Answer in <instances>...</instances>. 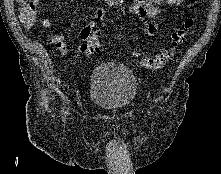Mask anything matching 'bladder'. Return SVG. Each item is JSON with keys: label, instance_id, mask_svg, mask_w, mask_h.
Returning <instances> with one entry per match:
<instances>
[{"label": "bladder", "instance_id": "1", "mask_svg": "<svg viewBox=\"0 0 221 174\" xmlns=\"http://www.w3.org/2000/svg\"><path fill=\"white\" fill-rule=\"evenodd\" d=\"M137 96V81L132 71L116 63L99 65L92 73L90 99L100 108L119 111L131 106Z\"/></svg>", "mask_w": 221, "mask_h": 174}]
</instances>
